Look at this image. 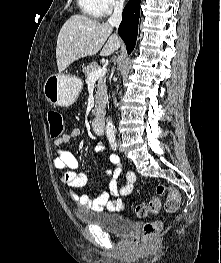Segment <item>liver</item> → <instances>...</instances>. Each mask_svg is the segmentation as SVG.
<instances>
[{
    "mask_svg": "<svg viewBox=\"0 0 221 263\" xmlns=\"http://www.w3.org/2000/svg\"><path fill=\"white\" fill-rule=\"evenodd\" d=\"M113 28L85 15H72L62 26L57 38L56 58L59 72L74 61L93 56L101 49V56H110L121 46Z\"/></svg>",
    "mask_w": 221,
    "mask_h": 263,
    "instance_id": "1",
    "label": "liver"
}]
</instances>
